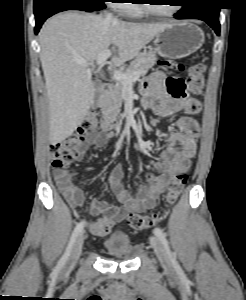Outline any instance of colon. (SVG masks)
<instances>
[{
  "label": "colon",
  "instance_id": "1",
  "mask_svg": "<svg viewBox=\"0 0 246 300\" xmlns=\"http://www.w3.org/2000/svg\"><path fill=\"white\" fill-rule=\"evenodd\" d=\"M162 64L169 70L183 72L185 67L176 60H164ZM204 66L200 63L194 64L189 68V76L185 82V89L190 94H198L202 91L204 80ZM191 114L200 112V105L194 104L190 110ZM99 125V116L96 113H90L77 133L69 136L63 141L51 144L50 153L52 157L51 165L56 170H64L83 153V142L85 136L93 132ZM188 180L186 170H181L175 174L170 181L167 193L166 204H174L180 197ZM166 217V212H160L153 215H142L131 213L125 218L127 224L136 230H146L162 221Z\"/></svg>",
  "mask_w": 246,
  "mask_h": 300
}]
</instances>
